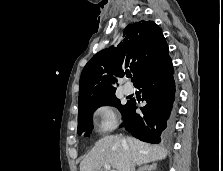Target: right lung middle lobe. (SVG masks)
Segmentation results:
<instances>
[{"mask_svg":"<svg viewBox=\"0 0 223 171\" xmlns=\"http://www.w3.org/2000/svg\"><path fill=\"white\" fill-rule=\"evenodd\" d=\"M105 105L117 107L121 111L122 116H123L130 105V101L122 105L120 103V100L117 99L114 94H112L79 108L78 130H77L78 135L84 134V136H89L93 128L92 117H93L94 111L98 107L105 106Z\"/></svg>","mask_w":223,"mask_h":171,"instance_id":"right-lung-middle-lobe-1","label":"right lung middle lobe"}]
</instances>
